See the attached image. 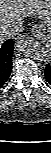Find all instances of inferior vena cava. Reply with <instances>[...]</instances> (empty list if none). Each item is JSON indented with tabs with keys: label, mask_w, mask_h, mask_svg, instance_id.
Wrapping results in <instances>:
<instances>
[{
	"label": "inferior vena cava",
	"mask_w": 51,
	"mask_h": 153,
	"mask_svg": "<svg viewBox=\"0 0 51 153\" xmlns=\"http://www.w3.org/2000/svg\"><path fill=\"white\" fill-rule=\"evenodd\" d=\"M22 31H23L22 23H16L11 28L2 30V32L0 33V43L5 42L6 39L17 37L22 33Z\"/></svg>",
	"instance_id": "inferior-vena-cava-1"
}]
</instances>
